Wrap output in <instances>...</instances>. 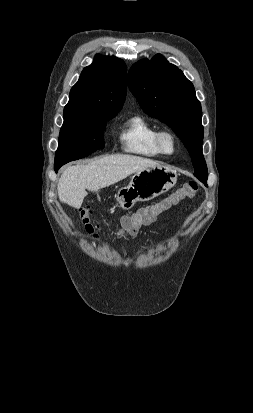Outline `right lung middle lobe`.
<instances>
[{"mask_svg":"<svg viewBox=\"0 0 253 413\" xmlns=\"http://www.w3.org/2000/svg\"><path fill=\"white\" fill-rule=\"evenodd\" d=\"M115 115L100 114L93 118L64 120L55 154V165H64L103 149V133L107 121Z\"/></svg>","mask_w":253,"mask_h":413,"instance_id":"right-lung-middle-lobe-1","label":"right lung middle lobe"}]
</instances>
